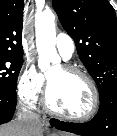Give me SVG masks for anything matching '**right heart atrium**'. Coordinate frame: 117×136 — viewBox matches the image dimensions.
<instances>
[{"instance_id": "obj_1", "label": "right heart atrium", "mask_w": 117, "mask_h": 136, "mask_svg": "<svg viewBox=\"0 0 117 136\" xmlns=\"http://www.w3.org/2000/svg\"><path fill=\"white\" fill-rule=\"evenodd\" d=\"M45 88V79L33 65H26L20 71L17 79V95L25 106L38 104Z\"/></svg>"}]
</instances>
